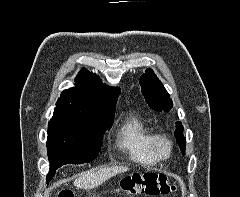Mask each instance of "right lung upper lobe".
Instances as JSON below:
<instances>
[{
    "mask_svg": "<svg viewBox=\"0 0 240 197\" xmlns=\"http://www.w3.org/2000/svg\"><path fill=\"white\" fill-rule=\"evenodd\" d=\"M74 81L75 87L61 93L51 121L79 125L113 122L120 88L103 84L87 69H81Z\"/></svg>",
    "mask_w": 240,
    "mask_h": 197,
    "instance_id": "1",
    "label": "right lung upper lobe"
}]
</instances>
